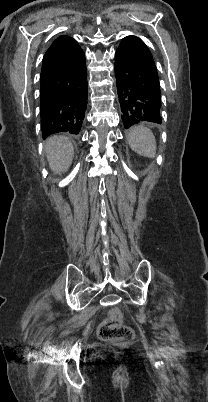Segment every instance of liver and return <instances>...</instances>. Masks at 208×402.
Here are the masks:
<instances>
[{
    "mask_svg": "<svg viewBox=\"0 0 208 402\" xmlns=\"http://www.w3.org/2000/svg\"><path fill=\"white\" fill-rule=\"evenodd\" d=\"M45 152L49 162V168H51L55 174L66 172L72 164L74 148L70 140L64 138V136H54V138H50L45 146Z\"/></svg>",
    "mask_w": 208,
    "mask_h": 402,
    "instance_id": "6515ba94",
    "label": "liver"
}]
</instances>
